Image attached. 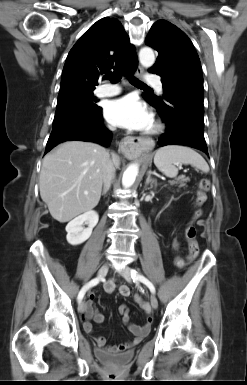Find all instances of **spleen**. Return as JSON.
Wrapping results in <instances>:
<instances>
[{
  "label": "spleen",
  "instance_id": "spleen-1",
  "mask_svg": "<svg viewBox=\"0 0 247 385\" xmlns=\"http://www.w3.org/2000/svg\"><path fill=\"white\" fill-rule=\"evenodd\" d=\"M190 164L204 173L209 172V166L205 159L187 146L167 145L157 150L154 156V164L167 177L174 178L178 174L175 165Z\"/></svg>",
  "mask_w": 247,
  "mask_h": 385
}]
</instances>
